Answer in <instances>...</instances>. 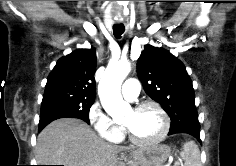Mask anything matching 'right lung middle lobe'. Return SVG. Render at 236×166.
Segmentation results:
<instances>
[{
	"label": "right lung middle lobe",
	"instance_id": "1",
	"mask_svg": "<svg viewBox=\"0 0 236 166\" xmlns=\"http://www.w3.org/2000/svg\"><path fill=\"white\" fill-rule=\"evenodd\" d=\"M95 98L51 93L43 96L39 125L59 118H79L89 124V110Z\"/></svg>",
	"mask_w": 236,
	"mask_h": 166
}]
</instances>
